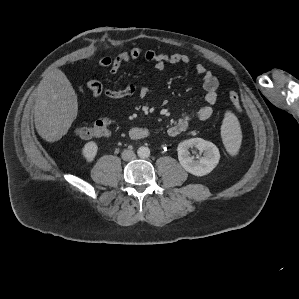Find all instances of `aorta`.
Masks as SVG:
<instances>
[{
    "instance_id": "aorta-1",
    "label": "aorta",
    "mask_w": 299,
    "mask_h": 299,
    "mask_svg": "<svg viewBox=\"0 0 299 299\" xmlns=\"http://www.w3.org/2000/svg\"><path fill=\"white\" fill-rule=\"evenodd\" d=\"M137 154L141 158H147L150 156V149L148 147L142 146L138 148Z\"/></svg>"
}]
</instances>
